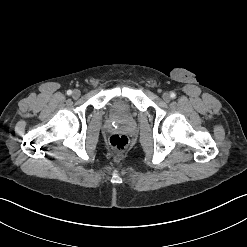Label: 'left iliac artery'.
I'll return each instance as SVG.
<instances>
[{
  "mask_svg": "<svg viewBox=\"0 0 247 247\" xmlns=\"http://www.w3.org/2000/svg\"><path fill=\"white\" fill-rule=\"evenodd\" d=\"M170 97L171 98H175L176 97V94L174 92H171Z\"/></svg>",
  "mask_w": 247,
  "mask_h": 247,
  "instance_id": "obj_1",
  "label": "left iliac artery"
}]
</instances>
